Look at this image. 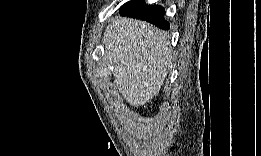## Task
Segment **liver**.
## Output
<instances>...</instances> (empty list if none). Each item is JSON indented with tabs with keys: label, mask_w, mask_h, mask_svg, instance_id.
<instances>
[{
	"label": "liver",
	"mask_w": 261,
	"mask_h": 156,
	"mask_svg": "<svg viewBox=\"0 0 261 156\" xmlns=\"http://www.w3.org/2000/svg\"><path fill=\"white\" fill-rule=\"evenodd\" d=\"M103 42L119 92L130 105L145 106L158 95L170 67L172 51L164 32L118 17L106 28Z\"/></svg>",
	"instance_id": "6515ba94"
}]
</instances>
